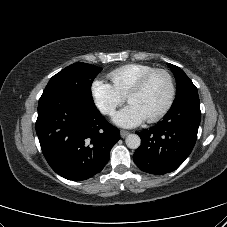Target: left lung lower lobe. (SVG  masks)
<instances>
[{
  "label": "left lung lower lobe",
  "mask_w": 227,
  "mask_h": 227,
  "mask_svg": "<svg viewBox=\"0 0 227 227\" xmlns=\"http://www.w3.org/2000/svg\"><path fill=\"white\" fill-rule=\"evenodd\" d=\"M200 118L198 94L174 102L162 121L137 133L142 144L133 155L136 165L142 171L156 175L177 169L194 147Z\"/></svg>",
  "instance_id": "0a47b994"
}]
</instances>
